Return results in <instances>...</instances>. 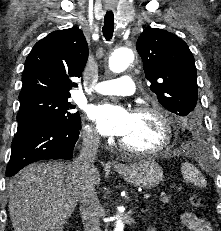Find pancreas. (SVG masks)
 <instances>
[{"mask_svg":"<svg viewBox=\"0 0 221 231\" xmlns=\"http://www.w3.org/2000/svg\"><path fill=\"white\" fill-rule=\"evenodd\" d=\"M159 200L163 203H169L170 202V196L167 195H161Z\"/></svg>","mask_w":221,"mask_h":231,"instance_id":"obj_1","label":"pancreas"}]
</instances>
